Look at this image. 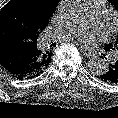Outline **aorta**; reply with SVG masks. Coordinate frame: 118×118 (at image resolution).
Returning a JSON list of instances; mask_svg holds the SVG:
<instances>
[{"instance_id":"obj_1","label":"aorta","mask_w":118,"mask_h":118,"mask_svg":"<svg viewBox=\"0 0 118 118\" xmlns=\"http://www.w3.org/2000/svg\"><path fill=\"white\" fill-rule=\"evenodd\" d=\"M60 12L68 19L76 18L82 12L81 0H63L60 5ZM107 64L100 58L92 59L88 62L89 71L95 75H101L107 69Z\"/></svg>"}]
</instances>
